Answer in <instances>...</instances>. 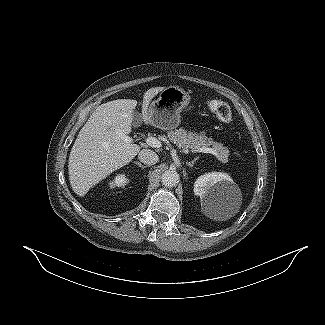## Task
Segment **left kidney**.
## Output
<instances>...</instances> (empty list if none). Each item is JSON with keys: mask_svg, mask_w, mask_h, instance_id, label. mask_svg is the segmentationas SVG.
<instances>
[{"mask_svg": "<svg viewBox=\"0 0 325 325\" xmlns=\"http://www.w3.org/2000/svg\"><path fill=\"white\" fill-rule=\"evenodd\" d=\"M236 185L225 173L212 172L200 176L194 184V193L201 199V205H221L231 197Z\"/></svg>", "mask_w": 325, "mask_h": 325, "instance_id": "obj_1", "label": "left kidney"}]
</instances>
